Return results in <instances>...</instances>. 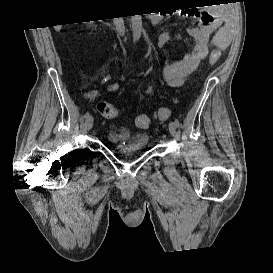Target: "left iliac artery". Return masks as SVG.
I'll use <instances>...</instances> for the list:
<instances>
[{"label": "left iliac artery", "instance_id": "left-iliac-artery-1", "mask_svg": "<svg viewBox=\"0 0 273 273\" xmlns=\"http://www.w3.org/2000/svg\"><path fill=\"white\" fill-rule=\"evenodd\" d=\"M175 125H176V127H179L180 126V124H179V121L177 120V119H175Z\"/></svg>", "mask_w": 273, "mask_h": 273}]
</instances>
